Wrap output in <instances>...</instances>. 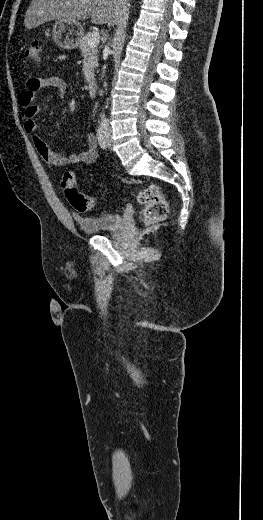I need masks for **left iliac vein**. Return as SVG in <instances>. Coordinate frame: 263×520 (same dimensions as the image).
I'll use <instances>...</instances> for the list:
<instances>
[{
	"label": "left iliac vein",
	"mask_w": 263,
	"mask_h": 520,
	"mask_svg": "<svg viewBox=\"0 0 263 520\" xmlns=\"http://www.w3.org/2000/svg\"><path fill=\"white\" fill-rule=\"evenodd\" d=\"M105 137H106V146L108 148H110L111 147V141H110V133H109V131H105Z\"/></svg>",
	"instance_id": "1"
}]
</instances>
